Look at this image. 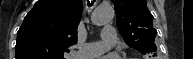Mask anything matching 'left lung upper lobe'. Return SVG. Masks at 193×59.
Returning <instances> with one entry per match:
<instances>
[{
	"label": "left lung upper lobe",
	"instance_id": "1",
	"mask_svg": "<svg viewBox=\"0 0 193 59\" xmlns=\"http://www.w3.org/2000/svg\"><path fill=\"white\" fill-rule=\"evenodd\" d=\"M111 1L116 10V26L124 41L144 55L155 52L157 31L153 28V16L147 8L146 0Z\"/></svg>",
	"mask_w": 193,
	"mask_h": 59
}]
</instances>
